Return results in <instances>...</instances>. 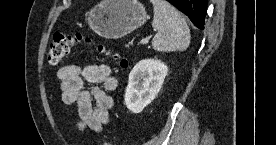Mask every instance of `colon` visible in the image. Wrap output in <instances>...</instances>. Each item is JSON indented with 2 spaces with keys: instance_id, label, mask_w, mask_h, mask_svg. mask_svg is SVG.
Here are the masks:
<instances>
[{
  "instance_id": "obj_1",
  "label": "colon",
  "mask_w": 276,
  "mask_h": 145,
  "mask_svg": "<svg viewBox=\"0 0 276 145\" xmlns=\"http://www.w3.org/2000/svg\"><path fill=\"white\" fill-rule=\"evenodd\" d=\"M78 43H84L86 45L91 44V40L80 33L66 35L60 32H56L53 35L52 42L48 52V62L50 65H58L63 58L71 51V49ZM99 53H107L105 47L98 46ZM121 68L126 69L129 67V61L126 58L116 56ZM103 145H111L109 142H104Z\"/></svg>"
}]
</instances>
